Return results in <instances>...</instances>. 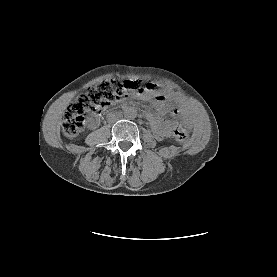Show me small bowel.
<instances>
[{"label":"small bowel","mask_w":277,"mask_h":277,"mask_svg":"<svg viewBox=\"0 0 277 277\" xmlns=\"http://www.w3.org/2000/svg\"><path fill=\"white\" fill-rule=\"evenodd\" d=\"M151 87H153V84H149ZM169 94L167 93L165 96L162 98V103L160 106L157 108L156 112L153 113L151 111H144V116L150 121L151 123V128L155 134V136L158 139H163L166 137H169L172 133V129L175 125L174 121L171 122H165L163 120V115L166 111V100L169 98ZM89 125L90 127H96L98 125V118L97 116H92L89 119Z\"/></svg>","instance_id":"c3829d8e"}]
</instances>
